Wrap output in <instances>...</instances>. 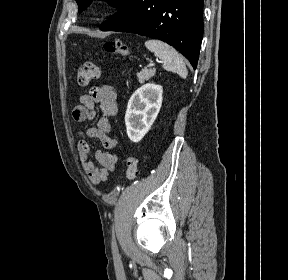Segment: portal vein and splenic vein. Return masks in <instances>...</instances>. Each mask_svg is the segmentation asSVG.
Listing matches in <instances>:
<instances>
[{
	"instance_id": "portal-vein-and-splenic-vein-1",
	"label": "portal vein and splenic vein",
	"mask_w": 288,
	"mask_h": 280,
	"mask_svg": "<svg viewBox=\"0 0 288 280\" xmlns=\"http://www.w3.org/2000/svg\"><path fill=\"white\" fill-rule=\"evenodd\" d=\"M158 62H159V61H158ZM154 65H155L154 63H150V64H149V66H154Z\"/></svg>"
}]
</instances>
